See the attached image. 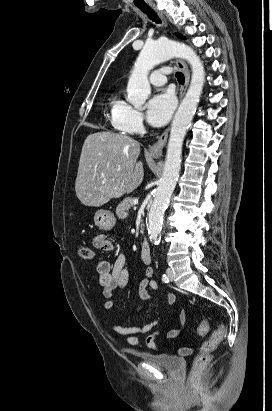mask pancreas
Wrapping results in <instances>:
<instances>
[{
	"mask_svg": "<svg viewBox=\"0 0 272 411\" xmlns=\"http://www.w3.org/2000/svg\"><path fill=\"white\" fill-rule=\"evenodd\" d=\"M133 198L127 197L125 198L116 208V214L121 216L125 211H128L133 205Z\"/></svg>",
	"mask_w": 272,
	"mask_h": 411,
	"instance_id": "cf45deb5",
	"label": "pancreas"
}]
</instances>
